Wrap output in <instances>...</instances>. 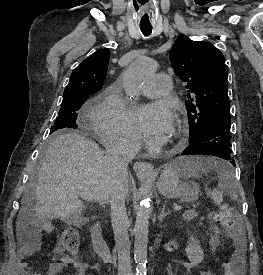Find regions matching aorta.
Returning a JSON list of instances; mask_svg holds the SVG:
<instances>
[{"instance_id":"aorta-1","label":"aorta","mask_w":263,"mask_h":275,"mask_svg":"<svg viewBox=\"0 0 263 275\" xmlns=\"http://www.w3.org/2000/svg\"><path fill=\"white\" fill-rule=\"evenodd\" d=\"M156 68L157 63L148 57L138 58L131 63L123 73V87L126 95L132 98L139 96L144 82ZM150 203V195H146L136 212L134 260L137 275H146L147 271L148 226L152 212Z\"/></svg>"}]
</instances>
